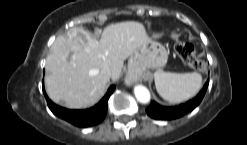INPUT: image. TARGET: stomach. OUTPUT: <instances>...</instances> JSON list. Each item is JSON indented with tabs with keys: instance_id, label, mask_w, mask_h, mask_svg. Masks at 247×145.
Segmentation results:
<instances>
[{
	"instance_id": "0dacf381",
	"label": "stomach",
	"mask_w": 247,
	"mask_h": 145,
	"mask_svg": "<svg viewBox=\"0 0 247 145\" xmlns=\"http://www.w3.org/2000/svg\"><path fill=\"white\" fill-rule=\"evenodd\" d=\"M168 60L166 48L155 41L136 49L128 60V71L132 75H143L150 70L164 67Z\"/></svg>"
}]
</instances>
